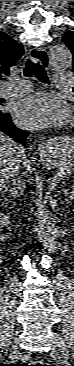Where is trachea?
<instances>
[{"mask_svg":"<svg viewBox=\"0 0 74 366\" xmlns=\"http://www.w3.org/2000/svg\"><path fill=\"white\" fill-rule=\"evenodd\" d=\"M23 74L25 77L35 76L43 83H50L44 68L38 62H35L32 59L27 60Z\"/></svg>","mask_w":74,"mask_h":366,"instance_id":"obj_1","label":"trachea"}]
</instances>
